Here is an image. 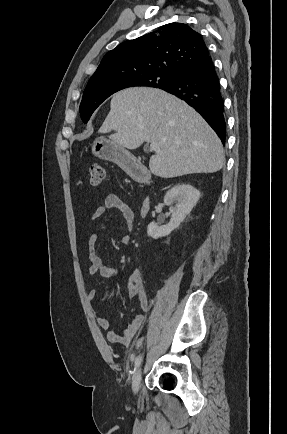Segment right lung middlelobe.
Masks as SVG:
<instances>
[{
  "label": "right lung middle lobe",
  "mask_w": 287,
  "mask_h": 434,
  "mask_svg": "<svg viewBox=\"0 0 287 434\" xmlns=\"http://www.w3.org/2000/svg\"><path fill=\"white\" fill-rule=\"evenodd\" d=\"M177 76L148 73L134 77H111L88 82L80 104V114L86 123L96 108L115 92L135 86L167 88L172 86Z\"/></svg>",
  "instance_id": "right-lung-middle-lobe-1"
}]
</instances>
